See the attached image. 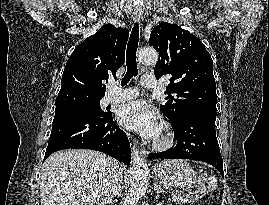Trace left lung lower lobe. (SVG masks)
Instances as JSON below:
<instances>
[{"label": "left lung lower lobe", "instance_id": "0a47b994", "mask_svg": "<svg viewBox=\"0 0 269 205\" xmlns=\"http://www.w3.org/2000/svg\"><path fill=\"white\" fill-rule=\"evenodd\" d=\"M216 112L206 111L186 115L173 125L177 145L165 152L151 153L149 159H190L211 164L221 174L223 160L215 132Z\"/></svg>", "mask_w": 269, "mask_h": 205}]
</instances>
